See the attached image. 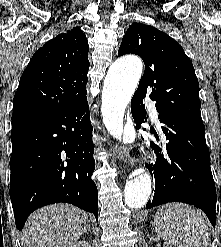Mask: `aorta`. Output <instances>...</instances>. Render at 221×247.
Masks as SVG:
<instances>
[{
    "label": "aorta",
    "instance_id": "762f6f07",
    "mask_svg": "<svg viewBox=\"0 0 221 247\" xmlns=\"http://www.w3.org/2000/svg\"><path fill=\"white\" fill-rule=\"evenodd\" d=\"M142 61L135 56L117 59L109 68L102 91V115L108 131L121 139L124 112L142 75ZM151 177L142 173L126 182L125 204L132 209L143 207L151 194Z\"/></svg>",
    "mask_w": 221,
    "mask_h": 247
}]
</instances>
